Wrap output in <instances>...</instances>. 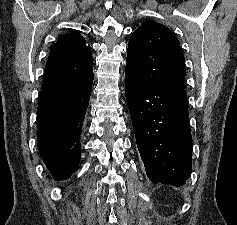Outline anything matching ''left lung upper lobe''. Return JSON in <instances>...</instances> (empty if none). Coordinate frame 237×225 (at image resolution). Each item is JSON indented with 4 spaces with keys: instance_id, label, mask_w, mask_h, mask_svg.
Wrapping results in <instances>:
<instances>
[{
    "instance_id": "obj_1",
    "label": "left lung upper lobe",
    "mask_w": 237,
    "mask_h": 225,
    "mask_svg": "<svg viewBox=\"0 0 237 225\" xmlns=\"http://www.w3.org/2000/svg\"><path fill=\"white\" fill-rule=\"evenodd\" d=\"M126 71L140 84L185 90V64L177 37L166 26L147 20L132 34Z\"/></svg>"
}]
</instances>
